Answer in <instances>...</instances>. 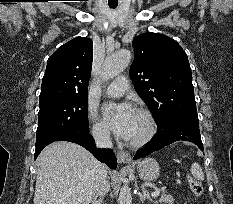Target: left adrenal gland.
Returning a JSON list of instances; mask_svg holds the SVG:
<instances>
[{
    "label": "left adrenal gland",
    "mask_w": 233,
    "mask_h": 204,
    "mask_svg": "<svg viewBox=\"0 0 233 204\" xmlns=\"http://www.w3.org/2000/svg\"><path fill=\"white\" fill-rule=\"evenodd\" d=\"M142 188V199L145 200L147 199L148 201H150L151 203H154V204H157L158 202L157 201H154L152 199V197L150 196V193L147 191V189L145 188L144 185L141 186Z\"/></svg>",
    "instance_id": "obj_1"
}]
</instances>
